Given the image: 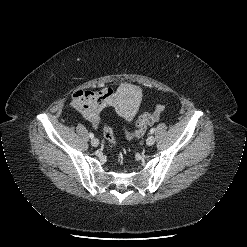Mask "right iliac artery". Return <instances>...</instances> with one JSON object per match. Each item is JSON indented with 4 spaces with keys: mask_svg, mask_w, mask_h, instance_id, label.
<instances>
[{
    "mask_svg": "<svg viewBox=\"0 0 247 247\" xmlns=\"http://www.w3.org/2000/svg\"><path fill=\"white\" fill-rule=\"evenodd\" d=\"M89 137L91 138V139H93L94 138V134L93 133H89Z\"/></svg>",
    "mask_w": 247,
    "mask_h": 247,
    "instance_id": "right-iliac-artery-1",
    "label": "right iliac artery"
}]
</instances>
